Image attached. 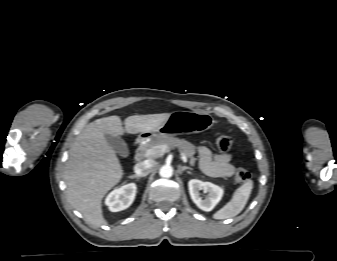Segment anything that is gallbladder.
<instances>
[{
    "mask_svg": "<svg viewBox=\"0 0 337 261\" xmlns=\"http://www.w3.org/2000/svg\"><path fill=\"white\" fill-rule=\"evenodd\" d=\"M105 138L109 145L115 150L120 156L126 157L129 153L127 144L119 136H112L110 134H105Z\"/></svg>",
    "mask_w": 337,
    "mask_h": 261,
    "instance_id": "bac80fb5",
    "label": "gallbladder"
}]
</instances>
